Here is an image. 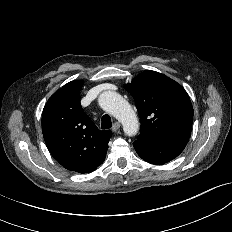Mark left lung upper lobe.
Wrapping results in <instances>:
<instances>
[{
	"mask_svg": "<svg viewBox=\"0 0 232 232\" xmlns=\"http://www.w3.org/2000/svg\"><path fill=\"white\" fill-rule=\"evenodd\" d=\"M141 120L137 140L188 141L193 122V107L184 88L161 73L147 70L126 84Z\"/></svg>",
	"mask_w": 232,
	"mask_h": 232,
	"instance_id": "1",
	"label": "left lung upper lobe"
}]
</instances>
